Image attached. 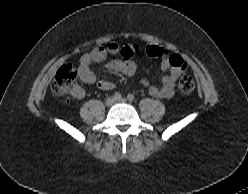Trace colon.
Segmentation results:
<instances>
[{"label": "colon", "mask_w": 248, "mask_h": 194, "mask_svg": "<svg viewBox=\"0 0 248 194\" xmlns=\"http://www.w3.org/2000/svg\"><path fill=\"white\" fill-rule=\"evenodd\" d=\"M78 70L72 64L62 65L52 83V90L57 95H64L71 91L75 85ZM195 88V82L189 75H183L177 84V89L182 94H189Z\"/></svg>", "instance_id": "obj_1"}]
</instances>
